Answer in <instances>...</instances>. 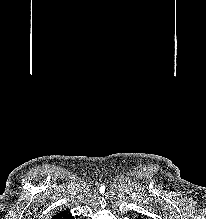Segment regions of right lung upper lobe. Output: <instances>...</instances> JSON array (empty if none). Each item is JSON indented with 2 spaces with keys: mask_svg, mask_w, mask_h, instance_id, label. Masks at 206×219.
I'll list each match as a JSON object with an SVG mask.
<instances>
[{
  "mask_svg": "<svg viewBox=\"0 0 206 219\" xmlns=\"http://www.w3.org/2000/svg\"><path fill=\"white\" fill-rule=\"evenodd\" d=\"M52 219H74L69 211H61L53 216Z\"/></svg>",
  "mask_w": 206,
  "mask_h": 219,
  "instance_id": "1",
  "label": "right lung upper lobe"
}]
</instances>
